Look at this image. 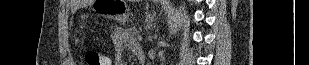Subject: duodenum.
Masks as SVG:
<instances>
[{"label":"duodenum","mask_w":309,"mask_h":65,"mask_svg":"<svg viewBox=\"0 0 309 65\" xmlns=\"http://www.w3.org/2000/svg\"><path fill=\"white\" fill-rule=\"evenodd\" d=\"M135 55L136 57L138 58L140 64H144L145 62V53H144V50L142 49V47H137L135 49Z\"/></svg>","instance_id":"obj_1"}]
</instances>
